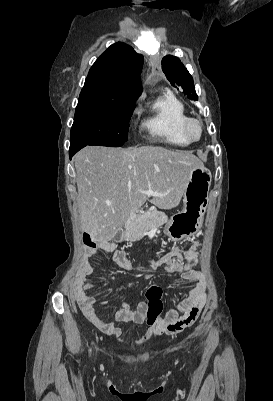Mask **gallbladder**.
Instances as JSON below:
<instances>
[{"mask_svg": "<svg viewBox=\"0 0 273 401\" xmlns=\"http://www.w3.org/2000/svg\"><path fill=\"white\" fill-rule=\"evenodd\" d=\"M117 239H121V233H118Z\"/></svg>", "mask_w": 273, "mask_h": 401, "instance_id": "bac80fb5", "label": "gallbladder"}]
</instances>
